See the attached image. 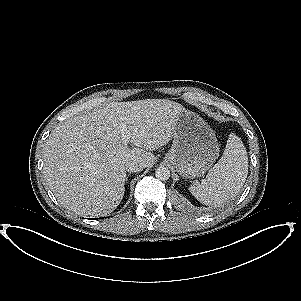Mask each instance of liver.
<instances>
[{"instance_id": "obj_1", "label": "liver", "mask_w": 301, "mask_h": 301, "mask_svg": "<svg viewBox=\"0 0 301 301\" xmlns=\"http://www.w3.org/2000/svg\"><path fill=\"white\" fill-rule=\"evenodd\" d=\"M184 107L178 103H111L56 127L43 150L44 175L58 201L85 216L116 209L125 191L126 164L150 167L167 144ZM124 134L134 148L122 144Z\"/></svg>"}]
</instances>
